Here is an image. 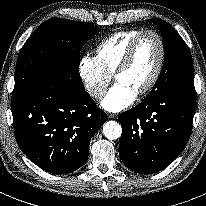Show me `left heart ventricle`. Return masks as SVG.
Masks as SVG:
<instances>
[{
    "instance_id": "obj_1",
    "label": "left heart ventricle",
    "mask_w": 206,
    "mask_h": 206,
    "mask_svg": "<svg viewBox=\"0 0 206 206\" xmlns=\"http://www.w3.org/2000/svg\"><path fill=\"white\" fill-rule=\"evenodd\" d=\"M160 48L155 36L147 34L138 43L133 59L127 70L116 78L136 94L150 81L158 60Z\"/></svg>"
}]
</instances>
